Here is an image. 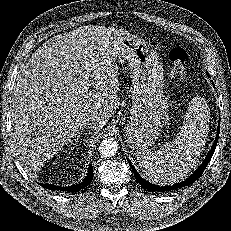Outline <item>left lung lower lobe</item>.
Listing matches in <instances>:
<instances>
[{"label": "left lung lower lobe", "mask_w": 231, "mask_h": 231, "mask_svg": "<svg viewBox=\"0 0 231 231\" xmlns=\"http://www.w3.org/2000/svg\"><path fill=\"white\" fill-rule=\"evenodd\" d=\"M219 129H220V121H219V125H218L216 138L214 140V143L212 145L211 150L209 151L208 155L206 156V158L204 159L202 164L198 167V169L189 178H187L185 181L177 183L176 185H173V186H158V185L151 184L148 181H146L145 179H143L129 162V164L132 168V171L134 173V177L136 178L137 182L142 187H144L145 189H147L149 191H155V192L156 191L157 192H164V191L175 190L177 188H181V187L193 184L202 175V173L204 172L205 168L207 167L208 163L210 162V160L214 154V151H215V148H216V145L218 142Z\"/></svg>", "instance_id": "left-lung-lower-lobe-1"}]
</instances>
